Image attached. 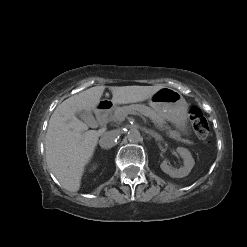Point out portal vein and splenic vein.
I'll return each mask as SVG.
<instances>
[{
  "label": "portal vein and splenic vein",
  "instance_id": "obj_1",
  "mask_svg": "<svg viewBox=\"0 0 247 247\" xmlns=\"http://www.w3.org/2000/svg\"><path fill=\"white\" fill-rule=\"evenodd\" d=\"M129 114H133V115H136L137 113H135V112H131V113H129Z\"/></svg>",
  "mask_w": 247,
  "mask_h": 247
}]
</instances>
